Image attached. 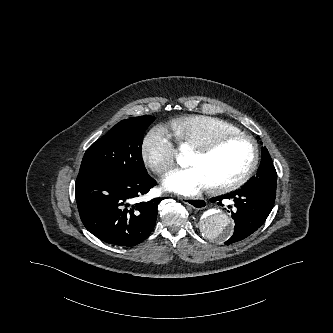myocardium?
<instances>
[{
	"label": "myocardium",
	"instance_id": "obj_1",
	"mask_svg": "<svg viewBox=\"0 0 333 333\" xmlns=\"http://www.w3.org/2000/svg\"><path fill=\"white\" fill-rule=\"evenodd\" d=\"M247 140L250 142L253 146V158L251 161V164L249 167L246 169L245 172H243L238 178L221 183V184H216V185H211L210 189L213 192L216 193H225V192H230L233 190H236L240 187H242L244 184H246L254 172L257 169L259 159H260V148L259 144L256 141V139L248 134L242 133V132H237V133H224V134H219L208 141L196 146L193 148V152L199 155H208L212 153L214 150H216L220 145H222L226 141L230 140Z\"/></svg>",
	"mask_w": 333,
	"mask_h": 333
}]
</instances>
